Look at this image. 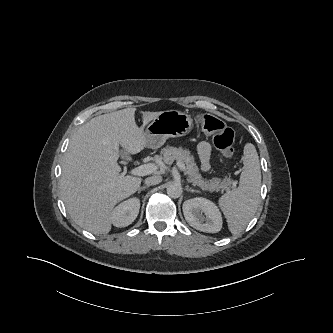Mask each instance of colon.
Returning <instances> with one entry per match:
<instances>
[{"label":"colon","instance_id":"obj_1","mask_svg":"<svg viewBox=\"0 0 333 333\" xmlns=\"http://www.w3.org/2000/svg\"><path fill=\"white\" fill-rule=\"evenodd\" d=\"M197 121L202 129L213 134L215 147L225 156H231L234 152L235 134L220 119L210 114H200Z\"/></svg>","mask_w":333,"mask_h":333}]
</instances>
